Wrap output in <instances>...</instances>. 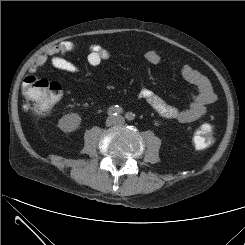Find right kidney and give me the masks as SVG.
<instances>
[{
	"instance_id": "ca27d5eb",
	"label": "right kidney",
	"mask_w": 245,
	"mask_h": 245,
	"mask_svg": "<svg viewBox=\"0 0 245 245\" xmlns=\"http://www.w3.org/2000/svg\"><path fill=\"white\" fill-rule=\"evenodd\" d=\"M81 117L77 113L64 115L58 121V127L64 132H73L80 126Z\"/></svg>"
}]
</instances>
